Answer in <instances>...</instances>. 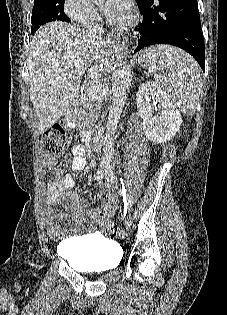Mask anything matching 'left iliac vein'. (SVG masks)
<instances>
[{"label": "left iliac vein", "mask_w": 227, "mask_h": 315, "mask_svg": "<svg viewBox=\"0 0 227 315\" xmlns=\"http://www.w3.org/2000/svg\"><path fill=\"white\" fill-rule=\"evenodd\" d=\"M133 222V215L131 212H129L127 215H126V218H125V226L126 227H130L131 224Z\"/></svg>", "instance_id": "4c4485c4"}]
</instances>
